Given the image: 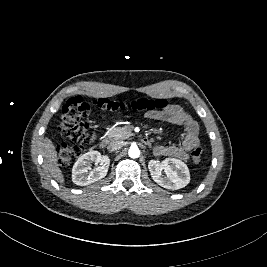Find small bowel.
<instances>
[{"instance_id":"1","label":"small bowel","mask_w":267,"mask_h":267,"mask_svg":"<svg viewBox=\"0 0 267 267\" xmlns=\"http://www.w3.org/2000/svg\"><path fill=\"white\" fill-rule=\"evenodd\" d=\"M149 117L154 120L173 123L183 126L184 136L180 144L157 145L154 154L185 160L188 154L199 144V127L192 116L180 105H169L159 112H152ZM150 144V141L149 143Z\"/></svg>"}]
</instances>
